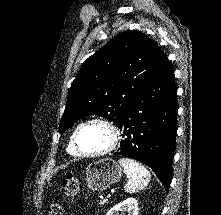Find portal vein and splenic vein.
I'll use <instances>...</instances> for the list:
<instances>
[{
    "label": "portal vein and splenic vein",
    "instance_id": "18ae733b",
    "mask_svg": "<svg viewBox=\"0 0 221 215\" xmlns=\"http://www.w3.org/2000/svg\"><path fill=\"white\" fill-rule=\"evenodd\" d=\"M112 192H113V190H112ZM110 196H111V194H108V195H107V197H110Z\"/></svg>",
    "mask_w": 221,
    "mask_h": 215
}]
</instances>
